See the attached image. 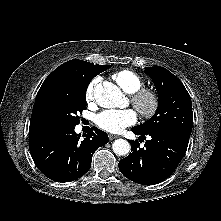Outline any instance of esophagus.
Wrapping results in <instances>:
<instances>
[{
    "label": "esophagus",
    "mask_w": 221,
    "mask_h": 221,
    "mask_svg": "<svg viewBox=\"0 0 221 221\" xmlns=\"http://www.w3.org/2000/svg\"><path fill=\"white\" fill-rule=\"evenodd\" d=\"M116 138H119V136L118 135H114V134H109V139L110 140H114Z\"/></svg>",
    "instance_id": "34e87169"
}]
</instances>
